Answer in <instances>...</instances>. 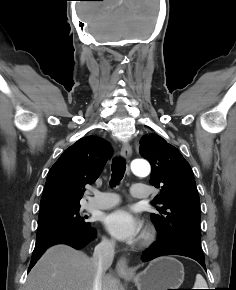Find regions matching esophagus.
<instances>
[{
	"label": "esophagus",
	"mask_w": 236,
	"mask_h": 290,
	"mask_svg": "<svg viewBox=\"0 0 236 290\" xmlns=\"http://www.w3.org/2000/svg\"><path fill=\"white\" fill-rule=\"evenodd\" d=\"M132 154L131 146L125 142L121 147V156L128 159ZM116 271L119 275H131L132 271L128 267V261L125 257H121L116 264Z\"/></svg>",
	"instance_id": "esophagus-1"
}]
</instances>
